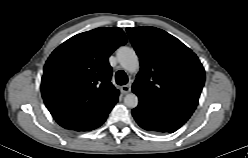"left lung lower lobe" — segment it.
I'll return each instance as SVG.
<instances>
[{
	"mask_svg": "<svg viewBox=\"0 0 248 158\" xmlns=\"http://www.w3.org/2000/svg\"><path fill=\"white\" fill-rule=\"evenodd\" d=\"M132 115L136 122L145 130L168 132L157 120L147 116L136 108L132 110Z\"/></svg>",
	"mask_w": 248,
	"mask_h": 158,
	"instance_id": "0a47b994",
	"label": "left lung lower lobe"
}]
</instances>
